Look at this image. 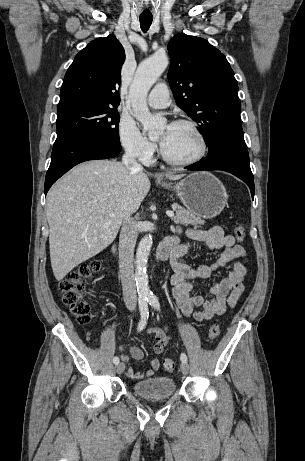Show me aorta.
I'll return each instance as SVG.
<instances>
[{
    "label": "aorta",
    "instance_id": "obj_1",
    "mask_svg": "<svg viewBox=\"0 0 305 461\" xmlns=\"http://www.w3.org/2000/svg\"><path fill=\"white\" fill-rule=\"evenodd\" d=\"M168 65L166 55H155L139 64L134 81L129 90V97L134 111V117L143 125L149 137L157 136L162 130L166 120L160 116H154L149 112L146 97L160 75ZM153 244L152 236H144L136 252L135 281L140 297L151 295L148 286L147 261Z\"/></svg>",
    "mask_w": 305,
    "mask_h": 461
}]
</instances>
